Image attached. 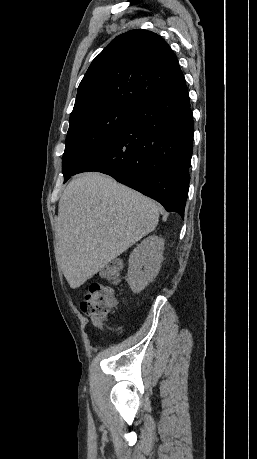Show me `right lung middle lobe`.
Returning a JSON list of instances; mask_svg holds the SVG:
<instances>
[{
  "label": "right lung middle lobe",
  "mask_w": 257,
  "mask_h": 459,
  "mask_svg": "<svg viewBox=\"0 0 257 459\" xmlns=\"http://www.w3.org/2000/svg\"><path fill=\"white\" fill-rule=\"evenodd\" d=\"M135 108L109 106L70 121L63 154L64 179L107 145L132 119Z\"/></svg>",
  "instance_id": "right-lung-middle-lobe-1"
}]
</instances>
